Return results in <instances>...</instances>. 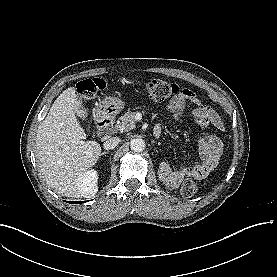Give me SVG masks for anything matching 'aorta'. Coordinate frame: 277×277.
Masks as SVG:
<instances>
[{
	"label": "aorta",
	"mask_w": 277,
	"mask_h": 277,
	"mask_svg": "<svg viewBox=\"0 0 277 277\" xmlns=\"http://www.w3.org/2000/svg\"><path fill=\"white\" fill-rule=\"evenodd\" d=\"M146 147L145 141L141 138L133 139L130 142V148L134 152H142Z\"/></svg>",
	"instance_id": "1"
}]
</instances>
